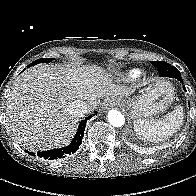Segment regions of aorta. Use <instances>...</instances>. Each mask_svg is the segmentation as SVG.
I'll return each mask as SVG.
<instances>
[{
  "label": "aorta",
  "instance_id": "762f6f07",
  "mask_svg": "<svg viewBox=\"0 0 196 196\" xmlns=\"http://www.w3.org/2000/svg\"><path fill=\"white\" fill-rule=\"evenodd\" d=\"M107 118L109 123L114 127H122L125 124V117L117 110H110Z\"/></svg>",
  "mask_w": 196,
  "mask_h": 196
}]
</instances>
